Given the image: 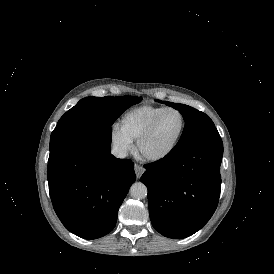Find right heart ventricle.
<instances>
[{
	"instance_id": "right-heart-ventricle-1",
	"label": "right heart ventricle",
	"mask_w": 274,
	"mask_h": 274,
	"mask_svg": "<svg viewBox=\"0 0 274 274\" xmlns=\"http://www.w3.org/2000/svg\"><path fill=\"white\" fill-rule=\"evenodd\" d=\"M163 108L150 104L132 107L122 114L118 121V128L130 141H136L148 123Z\"/></svg>"
}]
</instances>
